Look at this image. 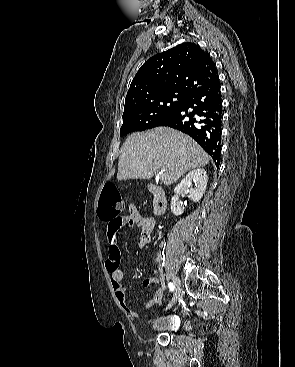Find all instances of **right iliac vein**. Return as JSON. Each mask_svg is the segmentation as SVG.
<instances>
[{"instance_id":"1","label":"right iliac vein","mask_w":295,"mask_h":367,"mask_svg":"<svg viewBox=\"0 0 295 367\" xmlns=\"http://www.w3.org/2000/svg\"><path fill=\"white\" fill-rule=\"evenodd\" d=\"M173 284H174V295H173L171 302L168 305L169 309L174 306V304L176 303L177 299L180 296V291H181L180 280L176 276L173 278Z\"/></svg>"}]
</instances>
